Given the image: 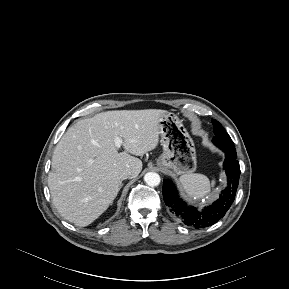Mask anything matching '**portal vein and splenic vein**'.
<instances>
[{"mask_svg": "<svg viewBox=\"0 0 289 289\" xmlns=\"http://www.w3.org/2000/svg\"><path fill=\"white\" fill-rule=\"evenodd\" d=\"M114 142H115V146H116L117 148H120L121 145H122V143H123V140H122L120 137L115 136Z\"/></svg>", "mask_w": 289, "mask_h": 289, "instance_id": "1", "label": "portal vein and splenic vein"}]
</instances>
